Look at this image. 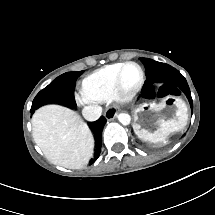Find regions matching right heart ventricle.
Segmentation results:
<instances>
[{
	"mask_svg": "<svg viewBox=\"0 0 215 215\" xmlns=\"http://www.w3.org/2000/svg\"><path fill=\"white\" fill-rule=\"evenodd\" d=\"M121 63L105 65L91 74L83 81L85 89L90 88L89 94L92 99L101 101L109 97L115 84V72L120 70Z\"/></svg>",
	"mask_w": 215,
	"mask_h": 215,
	"instance_id": "1",
	"label": "right heart ventricle"
}]
</instances>
